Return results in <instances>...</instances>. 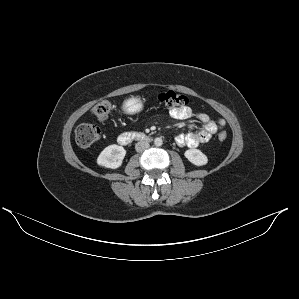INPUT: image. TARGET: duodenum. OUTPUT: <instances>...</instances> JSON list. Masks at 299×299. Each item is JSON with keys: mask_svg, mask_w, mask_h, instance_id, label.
Returning <instances> with one entry per match:
<instances>
[{"mask_svg": "<svg viewBox=\"0 0 299 299\" xmlns=\"http://www.w3.org/2000/svg\"><path fill=\"white\" fill-rule=\"evenodd\" d=\"M151 140V137L148 135H145L143 133H137V132H126L118 137V142L121 145H127L130 142L133 141H145L148 142Z\"/></svg>", "mask_w": 299, "mask_h": 299, "instance_id": "1", "label": "duodenum"}]
</instances>
